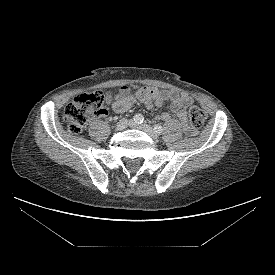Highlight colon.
Masks as SVG:
<instances>
[{
    "label": "colon",
    "instance_id": "obj_1",
    "mask_svg": "<svg viewBox=\"0 0 275 275\" xmlns=\"http://www.w3.org/2000/svg\"><path fill=\"white\" fill-rule=\"evenodd\" d=\"M104 100V94L95 91L80 94L69 102L63 114V119L68 124L69 131L74 135L80 134L92 116L105 113ZM188 113L191 126L200 128L206 119L205 112L198 105L191 104Z\"/></svg>",
    "mask_w": 275,
    "mask_h": 275
}]
</instances>
